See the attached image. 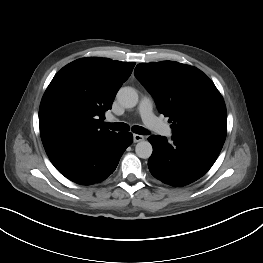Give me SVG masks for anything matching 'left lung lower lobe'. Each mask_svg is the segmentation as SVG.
<instances>
[{
	"instance_id": "0a47b994",
	"label": "left lung lower lobe",
	"mask_w": 263,
	"mask_h": 263,
	"mask_svg": "<svg viewBox=\"0 0 263 263\" xmlns=\"http://www.w3.org/2000/svg\"><path fill=\"white\" fill-rule=\"evenodd\" d=\"M153 153L148 161L151 174L160 181L181 187L202 177L216 161L223 142L187 133H173L172 140L152 135Z\"/></svg>"
}]
</instances>
